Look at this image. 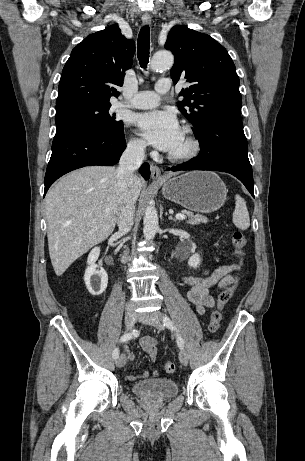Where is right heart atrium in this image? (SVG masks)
Listing matches in <instances>:
<instances>
[{
    "label": "right heart atrium",
    "instance_id": "obj_1",
    "mask_svg": "<svg viewBox=\"0 0 305 461\" xmlns=\"http://www.w3.org/2000/svg\"><path fill=\"white\" fill-rule=\"evenodd\" d=\"M145 142L138 138H131L128 142V149L135 155H141L145 151Z\"/></svg>",
    "mask_w": 305,
    "mask_h": 461
}]
</instances>
